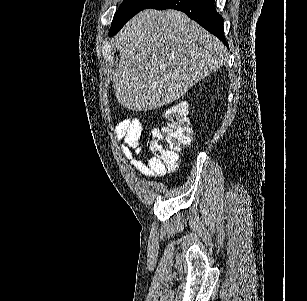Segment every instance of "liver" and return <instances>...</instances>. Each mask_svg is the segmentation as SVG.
<instances>
[{"label":"liver","instance_id":"liver-1","mask_svg":"<svg viewBox=\"0 0 307 301\" xmlns=\"http://www.w3.org/2000/svg\"><path fill=\"white\" fill-rule=\"evenodd\" d=\"M119 62L111 76L118 102L153 110L178 100L225 64L223 42L180 10L146 8L114 36Z\"/></svg>","mask_w":307,"mask_h":301}]
</instances>
